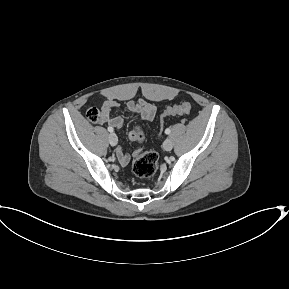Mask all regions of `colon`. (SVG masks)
I'll return each instance as SVG.
<instances>
[{"instance_id":"5ec220e1","label":"colon","mask_w":289,"mask_h":289,"mask_svg":"<svg viewBox=\"0 0 289 289\" xmlns=\"http://www.w3.org/2000/svg\"><path fill=\"white\" fill-rule=\"evenodd\" d=\"M191 110V104L188 101L177 105L167 107L162 117L187 114ZM87 118L93 122L98 123L103 119L101 109L91 108L87 111ZM145 138L144 131L141 127H135L130 133V139L135 142H142ZM158 168V154L155 151L149 150L137 154L132 164L134 174L140 178L152 177Z\"/></svg>"}]
</instances>
